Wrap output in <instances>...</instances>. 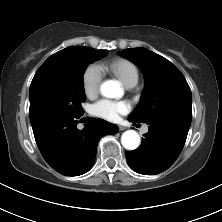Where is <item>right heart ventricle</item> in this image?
Wrapping results in <instances>:
<instances>
[{"instance_id":"1","label":"right heart ventricle","mask_w":222,"mask_h":222,"mask_svg":"<svg viewBox=\"0 0 222 222\" xmlns=\"http://www.w3.org/2000/svg\"><path fill=\"white\" fill-rule=\"evenodd\" d=\"M103 71H107L117 76L123 84L128 87H134L139 81V69L131 61L118 58L101 65Z\"/></svg>"}]
</instances>
